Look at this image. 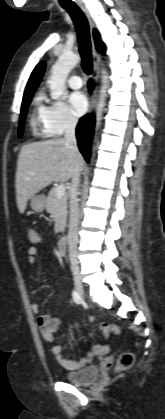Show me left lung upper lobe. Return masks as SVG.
<instances>
[{"label": "left lung upper lobe", "mask_w": 165, "mask_h": 419, "mask_svg": "<svg viewBox=\"0 0 165 419\" xmlns=\"http://www.w3.org/2000/svg\"><path fill=\"white\" fill-rule=\"evenodd\" d=\"M102 51H103V53H105V48H104V45H102Z\"/></svg>", "instance_id": "obj_1"}]
</instances>
